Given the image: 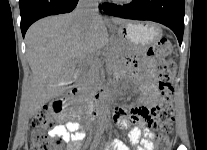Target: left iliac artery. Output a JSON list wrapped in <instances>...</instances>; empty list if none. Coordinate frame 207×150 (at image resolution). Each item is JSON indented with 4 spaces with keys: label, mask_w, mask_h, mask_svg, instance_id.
Listing matches in <instances>:
<instances>
[{
    "label": "left iliac artery",
    "mask_w": 207,
    "mask_h": 150,
    "mask_svg": "<svg viewBox=\"0 0 207 150\" xmlns=\"http://www.w3.org/2000/svg\"><path fill=\"white\" fill-rule=\"evenodd\" d=\"M115 147H117V150H129V148L120 140H114Z\"/></svg>",
    "instance_id": "44dca946"
}]
</instances>
